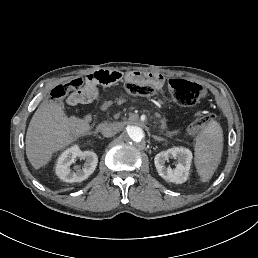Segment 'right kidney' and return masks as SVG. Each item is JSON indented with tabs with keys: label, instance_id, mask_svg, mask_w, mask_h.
I'll list each match as a JSON object with an SVG mask.
<instances>
[{
	"label": "right kidney",
	"instance_id": "right-kidney-1",
	"mask_svg": "<svg viewBox=\"0 0 258 258\" xmlns=\"http://www.w3.org/2000/svg\"><path fill=\"white\" fill-rule=\"evenodd\" d=\"M81 157L86 160L82 169L73 168L71 171L70 165L77 158ZM98 158L93 151L81 152L79 144H73L64 150L57 158L55 164V174L61 180L72 183L81 182L87 179L95 170Z\"/></svg>",
	"mask_w": 258,
	"mask_h": 258
}]
</instances>
